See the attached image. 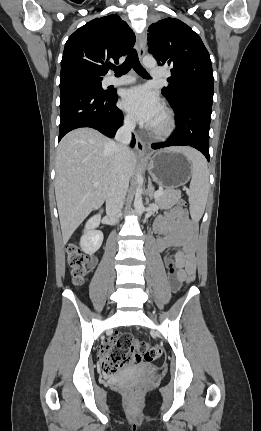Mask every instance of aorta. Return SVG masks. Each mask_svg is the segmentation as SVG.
I'll list each match as a JSON object with an SVG mask.
<instances>
[{"label":"aorta","mask_w":261,"mask_h":431,"mask_svg":"<svg viewBox=\"0 0 261 431\" xmlns=\"http://www.w3.org/2000/svg\"><path fill=\"white\" fill-rule=\"evenodd\" d=\"M142 62H143V65L148 69H152L156 66V61L151 56L144 57ZM142 182H143V177L141 174H138L136 178L137 187H136L135 200H134V208L138 215H141L144 210V206L142 202V188H141Z\"/></svg>","instance_id":"obj_1"}]
</instances>
